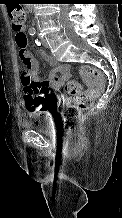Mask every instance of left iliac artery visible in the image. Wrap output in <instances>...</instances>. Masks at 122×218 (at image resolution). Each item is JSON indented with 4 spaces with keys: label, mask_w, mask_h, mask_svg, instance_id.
Listing matches in <instances>:
<instances>
[{
    "label": "left iliac artery",
    "mask_w": 122,
    "mask_h": 218,
    "mask_svg": "<svg viewBox=\"0 0 122 218\" xmlns=\"http://www.w3.org/2000/svg\"><path fill=\"white\" fill-rule=\"evenodd\" d=\"M37 46H41V43L38 40H35Z\"/></svg>",
    "instance_id": "44dca946"
}]
</instances>
